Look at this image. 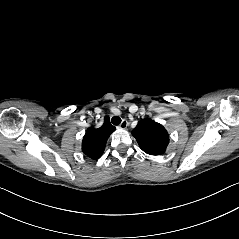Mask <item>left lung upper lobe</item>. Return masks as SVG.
<instances>
[{
	"label": "left lung upper lobe",
	"instance_id": "obj_1",
	"mask_svg": "<svg viewBox=\"0 0 239 239\" xmlns=\"http://www.w3.org/2000/svg\"><path fill=\"white\" fill-rule=\"evenodd\" d=\"M140 148L150 155H161L165 152L169 135L166 129L151 119L140 120L132 131Z\"/></svg>",
	"mask_w": 239,
	"mask_h": 239
}]
</instances>
